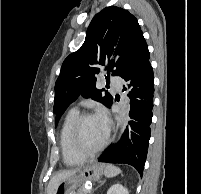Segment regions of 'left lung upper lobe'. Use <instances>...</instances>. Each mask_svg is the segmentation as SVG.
Segmentation results:
<instances>
[{"label": "left lung upper lobe", "instance_id": "1", "mask_svg": "<svg viewBox=\"0 0 201 194\" xmlns=\"http://www.w3.org/2000/svg\"><path fill=\"white\" fill-rule=\"evenodd\" d=\"M144 40L140 25L134 15L123 8H104L92 19L81 48L71 53L63 62L55 84L53 112L58 121L67 107L80 95L92 97L110 107L113 97L104 89L96 88V74L103 67L112 75H122L130 66L141 42ZM112 54L120 55L119 60L107 61Z\"/></svg>", "mask_w": 201, "mask_h": 194}]
</instances>
